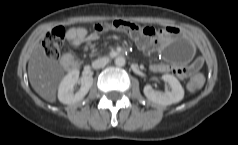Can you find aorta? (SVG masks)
I'll use <instances>...</instances> for the list:
<instances>
[{"label":"aorta","mask_w":238,"mask_h":145,"mask_svg":"<svg viewBox=\"0 0 238 145\" xmlns=\"http://www.w3.org/2000/svg\"><path fill=\"white\" fill-rule=\"evenodd\" d=\"M126 64V60L124 57L120 56L115 59V65L118 67H123Z\"/></svg>","instance_id":"1"}]
</instances>
